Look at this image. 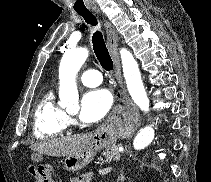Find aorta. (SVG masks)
Wrapping results in <instances>:
<instances>
[{"instance_id": "aorta-1", "label": "aorta", "mask_w": 211, "mask_h": 182, "mask_svg": "<svg viewBox=\"0 0 211 182\" xmlns=\"http://www.w3.org/2000/svg\"><path fill=\"white\" fill-rule=\"evenodd\" d=\"M89 51L78 48L67 51L59 67V98L64 107L78 106V89L76 75L86 61ZM124 78L129 94L134 103L144 112L149 111L150 102L147 97L137 61L127 49L120 50ZM155 131L152 125L142 128L133 141L136 150L147 147L154 139Z\"/></svg>"}]
</instances>
